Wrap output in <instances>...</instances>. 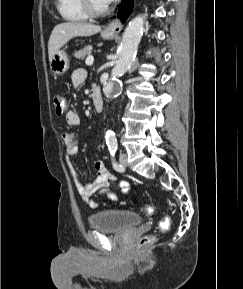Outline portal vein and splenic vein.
<instances>
[{"label":"portal vein and splenic vein","mask_w":243,"mask_h":289,"mask_svg":"<svg viewBox=\"0 0 243 289\" xmlns=\"http://www.w3.org/2000/svg\"><path fill=\"white\" fill-rule=\"evenodd\" d=\"M93 62H94V57L93 56H88L86 58V61H85L86 65L90 66V65L93 64Z\"/></svg>","instance_id":"18ae733b"}]
</instances>
